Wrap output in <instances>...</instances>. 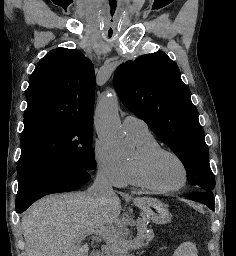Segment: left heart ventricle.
Returning <instances> with one entry per match:
<instances>
[{
    "instance_id": "b2bd125f",
    "label": "left heart ventricle",
    "mask_w": 236,
    "mask_h": 256,
    "mask_svg": "<svg viewBox=\"0 0 236 256\" xmlns=\"http://www.w3.org/2000/svg\"><path fill=\"white\" fill-rule=\"evenodd\" d=\"M150 173L153 181L163 187H175L184 178L182 165L169 154L157 156L151 163Z\"/></svg>"
}]
</instances>
